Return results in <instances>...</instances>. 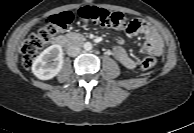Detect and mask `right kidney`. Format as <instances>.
I'll return each instance as SVG.
<instances>
[{
  "label": "right kidney",
  "instance_id": "ca27d5eb",
  "mask_svg": "<svg viewBox=\"0 0 194 133\" xmlns=\"http://www.w3.org/2000/svg\"><path fill=\"white\" fill-rule=\"evenodd\" d=\"M63 51L60 45L46 48L33 62L32 72L41 80L55 77L63 66Z\"/></svg>",
  "mask_w": 194,
  "mask_h": 133
}]
</instances>
